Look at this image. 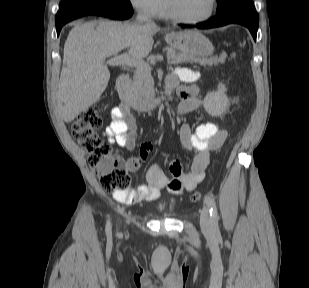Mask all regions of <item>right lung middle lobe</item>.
Segmentation results:
<instances>
[{"label": "right lung middle lobe", "mask_w": 309, "mask_h": 288, "mask_svg": "<svg viewBox=\"0 0 309 288\" xmlns=\"http://www.w3.org/2000/svg\"><path fill=\"white\" fill-rule=\"evenodd\" d=\"M108 3L115 5H124L131 7L129 0H62L59 11L56 14L55 22L62 20L68 14L91 4Z\"/></svg>", "instance_id": "1"}]
</instances>
